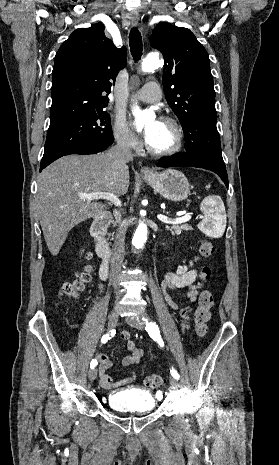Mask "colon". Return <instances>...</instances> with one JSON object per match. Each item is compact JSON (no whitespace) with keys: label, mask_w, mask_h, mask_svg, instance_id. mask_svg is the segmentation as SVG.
I'll return each mask as SVG.
<instances>
[{"label":"colon","mask_w":279,"mask_h":465,"mask_svg":"<svg viewBox=\"0 0 279 465\" xmlns=\"http://www.w3.org/2000/svg\"><path fill=\"white\" fill-rule=\"evenodd\" d=\"M215 252L213 243L207 239H202L199 243V253L205 257H211ZM88 258V256H87ZM210 277V268L205 266L201 269L200 279L206 280ZM91 280V269L84 265L78 270L75 276L64 281L60 287V295L66 299L77 298L83 292ZM213 306V295L208 290H202L198 296V307L194 312L195 333L198 337L203 338L208 332L207 322L210 319V309ZM164 379L158 374L149 375L146 378V385L152 389L159 388L163 385Z\"/></svg>","instance_id":"colon-1"}]
</instances>
